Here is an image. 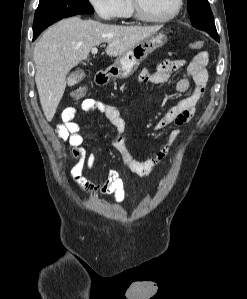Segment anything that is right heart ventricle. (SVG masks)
<instances>
[{
	"mask_svg": "<svg viewBox=\"0 0 247 299\" xmlns=\"http://www.w3.org/2000/svg\"><path fill=\"white\" fill-rule=\"evenodd\" d=\"M134 15L131 0H121L120 3V18H131Z\"/></svg>",
	"mask_w": 247,
	"mask_h": 299,
	"instance_id": "e07e8e85",
	"label": "right heart ventricle"
}]
</instances>
